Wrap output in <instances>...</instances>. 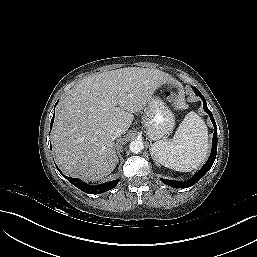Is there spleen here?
Here are the masks:
<instances>
[{
    "instance_id": "3e777b00",
    "label": "spleen",
    "mask_w": 257,
    "mask_h": 257,
    "mask_svg": "<svg viewBox=\"0 0 257 257\" xmlns=\"http://www.w3.org/2000/svg\"><path fill=\"white\" fill-rule=\"evenodd\" d=\"M208 149L205 122L195 112H190L179 125L174 137L153 143L151 153L163 166L188 172L204 162Z\"/></svg>"
}]
</instances>
